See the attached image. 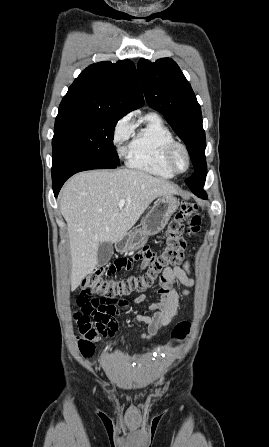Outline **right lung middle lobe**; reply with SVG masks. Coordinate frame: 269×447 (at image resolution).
<instances>
[{
    "mask_svg": "<svg viewBox=\"0 0 269 447\" xmlns=\"http://www.w3.org/2000/svg\"><path fill=\"white\" fill-rule=\"evenodd\" d=\"M120 118L106 115H58L52 140L53 153L63 151L119 165L114 149V128Z\"/></svg>",
    "mask_w": 269,
    "mask_h": 447,
    "instance_id": "right-lung-middle-lobe-1",
    "label": "right lung middle lobe"
}]
</instances>
